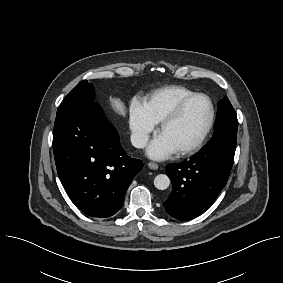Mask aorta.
I'll return each mask as SVG.
<instances>
[{"instance_id": "1", "label": "aorta", "mask_w": 283, "mask_h": 283, "mask_svg": "<svg viewBox=\"0 0 283 283\" xmlns=\"http://www.w3.org/2000/svg\"><path fill=\"white\" fill-rule=\"evenodd\" d=\"M170 185V179L165 174H159L154 178V186L159 190H165Z\"/></svg>"}]
</instances>
